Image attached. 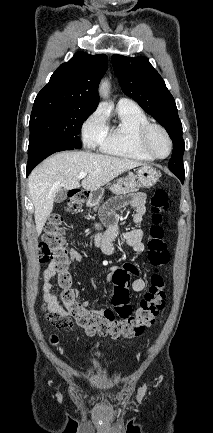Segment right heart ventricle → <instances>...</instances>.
Instances as JSON below:
<instances>
[{"mask_svg": "<svg viewBox=\"0 0 213 433\" xmlns=\"http://www.w3.org/2000/svg\"><path fill=\"white\" fill-rule=\"evenodd\" d=\"M117 116L115 124L107 125L99 145L101 152L135 160H153L140 149L137 142L139 128L149 122L146 114L134 103H118Z\"/></svg>", "mask_w": 213, "mask_h": 433, "instance_id": "right-heart-ventricle-1", "label": "right heart ventricle"}]
</instances>
